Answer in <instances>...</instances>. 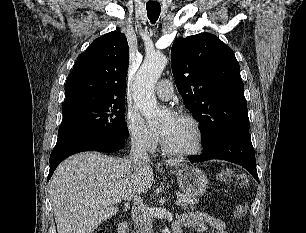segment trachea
Returning <instances> with one entry per match:
<instances>
[{
    "instance_id": "1",
    "label": "trachea",
    "mask_w": 306,
    "mask_h": 233,
    "mask_svg": "<svg viewBox=\"0 0 306 233\" xmlns=\"http://www.w3.org/2000/svg\"><path fill=\"white\" fill-rule=\"evenodd\" d=\"M147 15L151 23H155L160 15V4H146Z\"/></svg>"
}]
</instances>
